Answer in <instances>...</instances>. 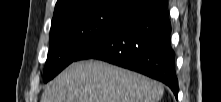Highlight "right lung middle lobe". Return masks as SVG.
<instances>
[{
	"label": "right lung middle lobe",
	"instance_id": "obj_1",
	"mask_svg": "<svg viewBox=\"0 0 221 102\" xmlns=\"http://www.w3.org/2000/svg\"><path fill=\"white\" fill-rule=\"evenodd\" d=\"M137 9L127 0H85L54 15L43 79L48 82Z\"/></svg>",
	"mask_w": 221,
	"mask_h": 102
}]
</instances>
